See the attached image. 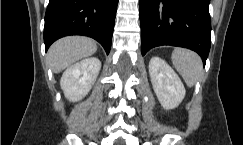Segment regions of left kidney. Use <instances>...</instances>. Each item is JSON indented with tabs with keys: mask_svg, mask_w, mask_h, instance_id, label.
I'll return each instance as SVG.
<instances>
[{
	"mask_svg": "<svg viewBox=\"0 0 243 145\" xmlns=\"http://www.w3.org/2000/svg\"><path fill=\"white\" fill-rule=\"evenodd\" d=\"M149 74L154 92L166 110L175 109L185 97V88L175 71L160 57H152Z\"/></svg>",
	"mask_w": 243,
	"mask_h": 145,
	"instance_id": "5707ae66",
	"label": "left kidney"
}]
</instances>
